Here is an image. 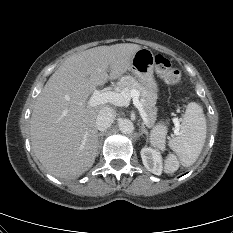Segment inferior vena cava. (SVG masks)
<instances>
[{
  "label": "inferior vena cava",
  "mask_w": 233,
  "mask_h": 233,
  "mask_svg": "<svg viewBox=\"0 0 233 233\" xmlns=\"http://www.w3.org/2000/svg\"><path fill=\"white\" fill-rule=\"evenodd\" d=\"M116 117V112L110 107H104L101 109L96 118V127L100 131L107 130Z\"/></svg>",
  "instance_id": "602c4592"
}]
</instances>
